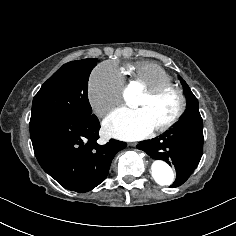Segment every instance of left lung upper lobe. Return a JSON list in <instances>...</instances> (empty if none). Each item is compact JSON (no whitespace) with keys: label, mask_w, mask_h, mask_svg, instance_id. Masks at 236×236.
Masks as SVG:
<instances>
[{"label":"left lung upper lobe","mask_w":236,"mask_h":236,"mask_svg":"<svg viewBox=\"0 0 236 236\" xmlns=\"http://www.w3.org/2000/svg\"><path fill=\"white\" fill-rule=\"evenodd\" d=\"M181 84L184 88V94L187 100V109L185 114L181 117L179 122L182 121H202L201 115L199 113V104L197 98L194 96L189 86L184 80L179 76Z\"/></svg>","instance_id":"5c2ea615"}]
</instances>
